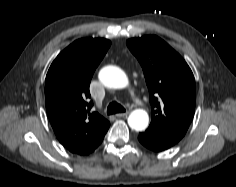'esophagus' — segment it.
I'll use <instances>...</instances> for the list:
<instances>
[{"label":"esophagus","mask_w":236,"mask_h":187,"mask_svg":"<svg viewBox=\"0 0 236 187\" xmlns=\"http://www.w3.org/2000/svg\"><path fill=\"white\" fill-rule=\"evenodd\" d=\"M128 114H129V112L118 113V114H116L115 116L118 117V118H121V117H126Z\"/></svg>","instance_id":"34e87169"}]
</instances>
